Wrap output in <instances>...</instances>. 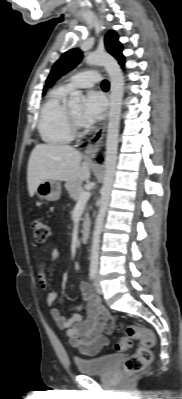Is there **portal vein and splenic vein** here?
<instances>
[{
  "instance_id": "18ae733b",
  "label": "portal vein and splenic vein",
  "mask_w": 182,
  "mask_h": 399,
  "mask_svg": "<svg viewBox=\"0 0 182 399\" xmlns=\"http://www.w3.org/2000/svg\"><path fill=\"white\" fill-rule=\"evenodd\" d=\"M90 195H91V194H90L89 191H83V192L80 194L77 203L80 204V203H85V202H87L88 199L90 198Z\"/></svg>"
}]
</instances>
